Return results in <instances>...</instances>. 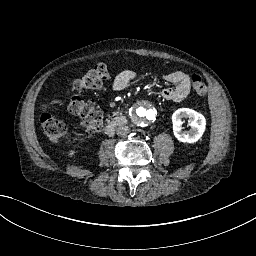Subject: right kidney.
I'll use <instances>...</instances> for the list:
<instances>
[{"mask_svg": "<svg viewBox=\"0 0 256 256\" xmlns=\"http://www.w3.org/2000/svg\"><path fill=\"white\" fill-rule=\"evenodd\" d=\"M75 154H76V150H74V149H73V150H69L68 153H67V155H68L69 158L74 157Z\"/></svg>", "mask_w": 256, "mask_h": 256, "instance_id": "1", "label": "right kidney"}]
</instances>
